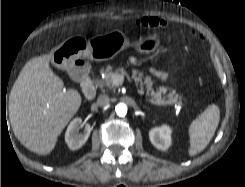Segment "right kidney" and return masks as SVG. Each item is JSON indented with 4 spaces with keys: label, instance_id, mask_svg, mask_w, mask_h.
I'll return each mask as SVG.
<instances>
[{
    "label": "right kidney",
    "instance_id": "right-kidney-1",
    "mask_svg": "<svg viewBox=\"0 0 245 187\" xmlns=\"http://www.w3.org/2000/svg\"><path fill=\"white\" fill-rule=\"evenodd\" d=\"M84 126L82 133H78L79 128ZM91 132L89 124H84L80 118L73 119L67 127L65 141L71 150L81 148L87 141Z\"/></svg>",
    "mask_w": 245,
    "mask_h": 187
}]
</instances>
